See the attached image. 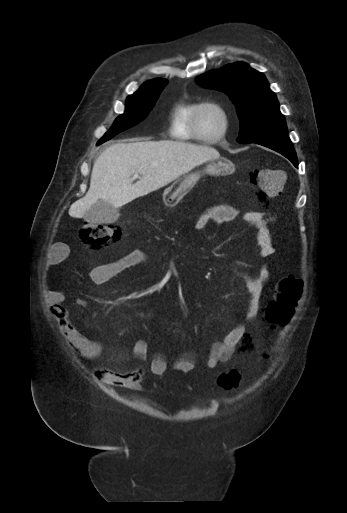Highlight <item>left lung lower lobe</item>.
Listing matches in <instances>:
<instances>
[{
    "label": "left lung lower lobe",
    "mask_w": 347,
    "mask_h": 513,
    "mask_svg": "<svg viewBox=\"0 0 347 513\" xmlns=\"http://www.w3.org/2000/svg\"><path fill=\"white\" fill-rule=\"evenodd\" d=\"M253 143L263 145L273 149L288 158L295 167H298L297 156L292 146L291 140L287 135L273 136Z\"/></svg>",
    "instance_id": "1"
}]
</instances>
